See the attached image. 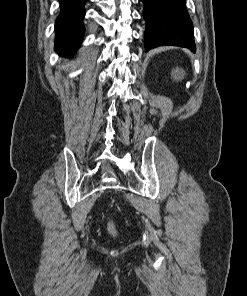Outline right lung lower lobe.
Instances as JSON below:
<instances>
[{"label":"right lung lower lobe","mask_w":247,"mask_h":296,"mask_svg":"<svg viewBox=\"0 0 247 296\" xmlns=\"http://www.w3.org/2000/svg\"><path fill=\"white\" fill-rule=\"evenodd\" d=\"M61 12L56 20V51L63 56L73 54L84 37V5L87 0H59Z\"/></svg>","instance_id":"98d812e1"}]
</instances>
